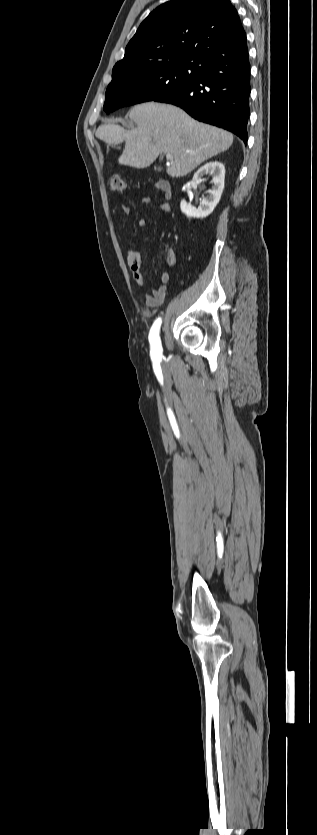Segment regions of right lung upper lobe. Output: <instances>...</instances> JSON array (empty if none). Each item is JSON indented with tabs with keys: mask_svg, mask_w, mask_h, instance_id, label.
Here are the masks:
<instances>
[{
	"mask_svg": "<svg viewBox=\"0 0 317 835\" xmlns=\"http://www.w3.org/2000/svg\"><path fill=\"white\" fill-rule=\"evenodd\" d=\"M246 37L229 0H172L141 23L113 74L199 60L206 53Z\"/></svg>",
	"mask_w": 317,
	"mask_h": 835,
	"instance_id": "1",
	"label": "right lung upper lobe"
}]
</instances>
